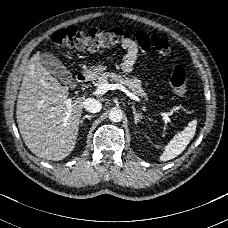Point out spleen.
<instances>
[{
	"mask_svg": "<svg viewBox=\"0 0 228 228\" xmlns=\"http://www.w3.org/2000/svg\"><path fill=\"white\" fill-rule=\"evenodd\" d=\"M198 119L194 118L188 125L176 136H174L167 144L162 145L160 142L154 143L155 150L161 151L160 161H168L180 155L193 139Z\"/></svg>",
	"mask_w": 228,
	"mask_h": 228,
	"instance_id": "3e777b00",
	"label": "spleen"
}]
</instances>
